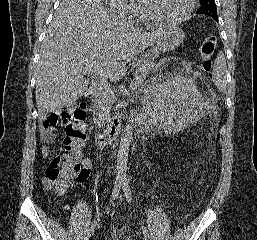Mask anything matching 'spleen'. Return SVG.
<instances>
[{
	"instance_id": "3e777b00",
	"label": "spleen",
	"mask_w": 257,
	"mask_h": 240,
	"mask_svg": "<svg viewBox=\"0 0 257 240\" xmlns=\"http://www.w3.org/2000/svg\"><path fill=\"white\" fill-rule=\"evenodd\" d=\"M212 78L218 89L224 91L226 88V61L222 52L219 53L215 60Z\"/></svg>"
}]
</instances>
